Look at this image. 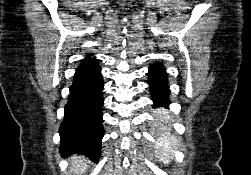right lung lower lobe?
Returning a JSON list of instances; mask_svg holds the SVG:
<instances>
[{
	"label": "right lung lower lobe",
	"instance_id": "right-lung-lower-lobe-1",
	"mask_svg": "<svg viewBox=\"0 0 251 175\" xmlns=\"http://www.w3.org/2000/svg\"><path fill=\"white\" fill-rule=\"evenodd\" d=\"M98 60H84L77 68L70 87L64 120L60 126V152L77 153L97 161L104 135L102 126L103 79Z\"/></svg>",
	"mask_w": 251,
	"mask_h": 175
}]
</instances>
